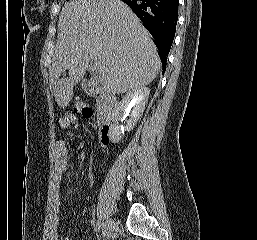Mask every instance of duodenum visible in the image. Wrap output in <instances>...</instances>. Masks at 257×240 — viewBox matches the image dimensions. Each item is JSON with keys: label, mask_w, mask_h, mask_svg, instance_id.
<instances>
[{"label": "duodenum", "mask_w": 257, "mask_h": 240, "mask_svg": "<svg viewBox=\"0 0 257 240\" xmlns=\"http://www.w3.org/2000/svg\"><path fill=\"white\" fill-rule=\"evenodd\" d=\"M83 86L87 94L99 98L102 102L103 113L99 129V141L102 146L108 145L111 138V118L113 110L116 107L117 100L113 95L101 90L89 81H84Z\"/></svg>", "instance_id": "1"}]
</instances>
